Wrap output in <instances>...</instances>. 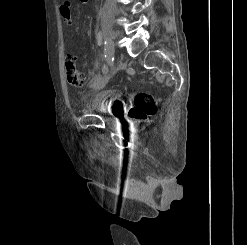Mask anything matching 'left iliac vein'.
Wrapping results in <instances>:
<instances>
[{
    "mask_svg": "<svg viewBox=\"0 0 247 245\" xmlns=\"http://www.w3.org/2000/svg\"><path fill=\"white\" fill-rule=\"evenodd\" d=\"M114 48H115V45H114ZM121 65H122V62H121V60H119V61L117 62V64H116V66L114 67V69H112L111 74L114 75V74L116 73L117 69H118Z\"/></svg>",
    "mask_w": 247,
    "mask_h": 245,
    "instance_id": "4c4485c4",
    "label": "left iliac vein"
}]
</instances>
